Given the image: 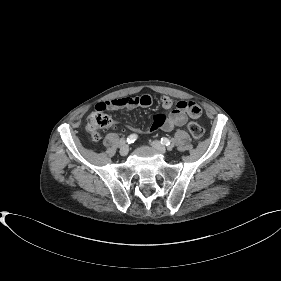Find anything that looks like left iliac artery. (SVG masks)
I'll list each match as a JSON object with an SVG mask.
<instances>
[{
	"label": "left iliac artery",
	"mask_w": 281,
	"mask_h": 281,
	"mask_svg": "<svg viewBox=\"0 0 281 281\" xmlns=\"http://www.w3.org/2000/svg\"><path fill=\"white\" fill-rule=\"evenodd\" d=\"M161 143L169 147H173V142L166 137L161 138Z\"/></svg>",
	"instance_id": "1"
}]
</instances>
